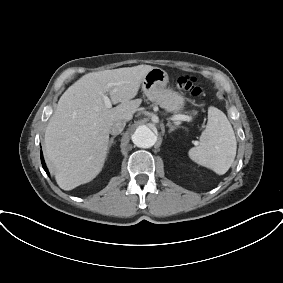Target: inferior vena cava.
Listing matches in <instances>:
<instances>
[{"mask_svg": "<svg viewBox=\"0 0 283 283\" xmlns=\"http://www.w3.org/2000/svg\"><path fill=\"white\" fill-rule=\"evenodd\" d=\"M125 125H126V121L124 120H118L114 122L110 127V134L112 135L120 134L123 131Z\"/></svg>", "mask_w": 283, "mask_h": 283, "instance_id": "inferior-vena-cava-1", "label": "inferior vena cava"}]
</instances>
